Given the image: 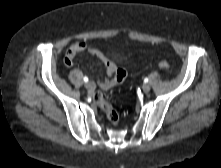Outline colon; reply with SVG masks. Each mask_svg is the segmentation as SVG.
<instances>
[{
  "mask_svg": "<svg viewBox=\"0 0 221 168\" xmlns=\"http://www.w3.org/2000/svg\"><path fill=\"white\" fill-rule=\"evenodd\" d=\"M159 67L164 70H168L170 65L166 61H161ZM93 100L98 104L105 112L107 119L112 125H117L119 122L118 113L112 108V106L104 99L103 95L100 92H95L93 95Z\"/></svg>",
  "mask_w": 221,
  "mask_h": 168,
  "instance_id": "1",
  "label": "colon"
}]
</instances>
